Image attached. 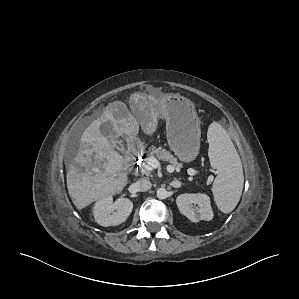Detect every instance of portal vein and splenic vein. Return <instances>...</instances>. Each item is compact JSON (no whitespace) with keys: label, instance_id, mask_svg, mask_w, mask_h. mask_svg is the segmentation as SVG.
<instances>
[{"label":"portal vein and splenic vein","instance_id":"portal-vein-and-splenic-vein-1","mask_svg":"<svg viewBox=\"0 0 299 299\" xmlns=\"http://www.w3.org/2000/svg\"><path fill=\"white\" fill-rule=\"evenodd\" d=\"M147 164H148L147 167L150 170L157 169V168L161 167V163L155 157L149 158ZM166 169H167L168 172H173L174 171V167L171 166V165H168L166 167ZM188 174L190 176H194V175L198 174V171L195 170V169L190 168V169H188Z\"/></svg>","mask_w":299,"mask_h":299}]
</instances>
